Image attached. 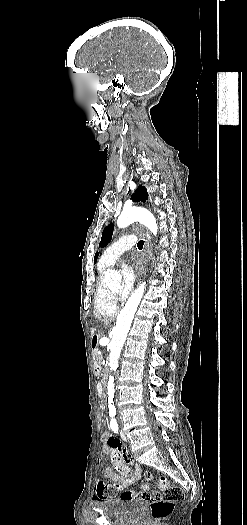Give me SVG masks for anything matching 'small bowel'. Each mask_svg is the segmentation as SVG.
Segmentation results:
<instances>
[{
  "instance_id": "obj_1",
  "label": "small bowel",
  "mask_w": 247,
  "mask_h": 525,
  "mask_svg": "<svg viewBox=\"0 0 247 525\" xmlns=\"http://www.w3.org/2000/svg\"><path fill=\"white\" fill-rule=\"evenodd\" d=\"M103 453L110 459L112 467L103 470L102 476L107 478L116 487L117 491H121L120 499L122 501L139 502L140 496L137 492L128 490L140 476V465L133 459L130 453L122 446L120 440L109 433L102 435ZM102 465V460H97V466ZM111 488L109 483L99 481L97 484V496L95 503L98 506H105L108 503V490ZM149 487L143 485L141 487L142 494L145 496V501H151L149 494Z\"/></svg>"
}]
</instances>
